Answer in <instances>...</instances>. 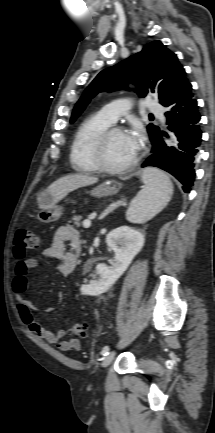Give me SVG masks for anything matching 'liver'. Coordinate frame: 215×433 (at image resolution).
Here are the masks:
<instances>
[{
	"label": "liver",
	"instance_id": "1",
	"mask_svg": "<svg viewBox=\"0 0 215 433\" xmlns=\"http://www.w3.org/2000/svg\"><path fill=\"white\" fill-rule=\"evenodd\" d=\"M98 182L97 177L83 174H70L59 178L53 182L48 190L52 193L56 201L63 199L69 192L80 187L89 186Z\"/></svg>",
	"mask_w": 215,
	"mask_h": 433
}]
</instances>
